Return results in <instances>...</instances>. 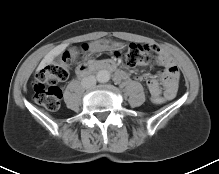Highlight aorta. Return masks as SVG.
Instances as JSON below:
<instances>
[{"mask_svg": "<svg viewBox=\"0 0 219 174\" xmlns=\"http://www.w3.org/2000/svg\"><path fill=\"white\" fill-rule=\"evenodd\" d=\"M111 74L108 70H100L97 75L96 78L99 82L101 83H106L110 80Z\"/></svg>", "mask_w": 219, "mask_h": 174, "instance_id": "762f6f07", "label": "aorta"}]
</instances>
